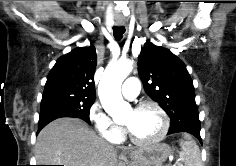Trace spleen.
<instances>
[{
  "instance_id": "1",
  "label": "spleen",
  "mask_w": 236,
  "mask_h": 166,
  "mask_svg": "<svg viewBox=\"0 0 236 166\" xmlns=\"http://www.w3.org/2000/svg\"><path fill=\"white\" fill-rule=\"evenodd\" d=\"M186 140L180 141L181 152L180 159L185 166H203L201 153L198 145L188 134L184 135Z\"/></svg>"
}]
</instances>
